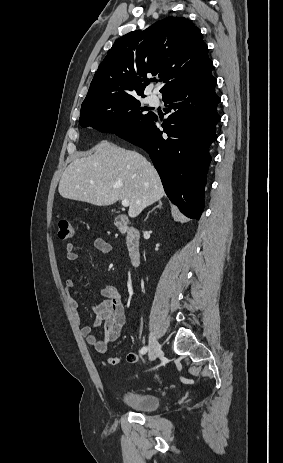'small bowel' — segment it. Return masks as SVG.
Returning <instances> with one entry per match:
<instances>
[{
	"instance_id": "c3829d8e",
	"label": "small bowel",
	"mask_w": 283,
	"mask_h": 463,
	"mask_svg": "<svg viewBox=\"0 0 283 463\" xmlns=\"http://www.w3.org/2000/svg\"><path fill=\"white\" fill-rule=\"evenodd\" d=\"M93 245L97 250L104 254H109L112 251L111 244L100 237L93 239ZM65 249L68 263H76L78 260V254L75 252L73 244H67ZM65 287L70 293L75 287V280L73 278H68L65 282ZM101 295L103 297V301L90 307L91 311L95 315L92 324H85L81 321L79 317L80 304L78 299L72 294L69 295V305L80 324L81 333L85 337L86 342L93 346L99 354H106L109 347L121 335L125 324V313L121 293L116 287L107 286L103 288ZM101 324L104 326V338L98 339L94 334V329L99 327ZM128 354L135 355L137 358L135 362L138 361L139 356L137 352L132 351ZM107 363L110 366H117L120 363V357L116 355L110 356L107 359Z\"/></svg>"
}]
</instances>
